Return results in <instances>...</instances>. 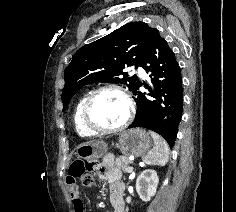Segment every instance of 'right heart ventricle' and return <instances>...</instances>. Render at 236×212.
I'll return each instance as SVG.
<instances>
[{
	"label": "right heart ventricle",
	"mask_w": 236,
	"mask_h": 212,
	"mask_svg": "<svg viewBox=\"0 0 236 212\" xmlns=\"http://www.w3.org/2000/svg\"><path fill=\"white\" fill-rule=\"evenodd\" d=\"M88 96V93H85L79 97V99L76 101L73 109V114H72V120H73V126L75 129V132L77 133L78 136L83 137V138H88V137H93L96 134L90 132L83 124L82 121V110H83V105Z\"/></svg>",
	"instance_id": "1"
}]
</instances>
